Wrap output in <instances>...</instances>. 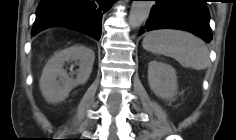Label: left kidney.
I'll return each instance as SVG.
<instances>
[{
	"label": "left kidney",
	"mask_w": 236,
	"mask_h": 140,
	"mask_svg": "<svg viewBox=\"0 0 236 140\" xmlns=\"http://www.w3.org/2000/svg\"><path fill=\"white\" fill-rule=\"evenodd\" d=\"M148 82L150 89L162 99H172L177 92L176 71L170 65L154 60L150 61Z\"/></svg>",
	"instance_id": "obj_1"
}]
</instances>
